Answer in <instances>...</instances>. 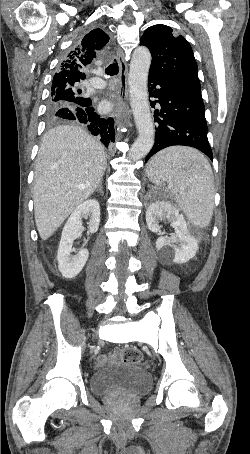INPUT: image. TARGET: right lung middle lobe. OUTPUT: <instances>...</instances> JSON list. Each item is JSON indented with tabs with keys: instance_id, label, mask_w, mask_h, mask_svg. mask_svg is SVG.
<instances>
[{
	"instance_id": "obj_1",
	"label": "right lung middle lobe",
	"mask_w": 250,
	"mask_h": 454,
	"mask_svg": "<svg viewBox=\"0 0 250 454\" xmlns=\"http://www.w3.org/2000/svg\"><path fill=\"white\" fill-rule=\"evenodd\" d=\"M80 94L81 90L77 89V84L52 85L47 109L48 121L59 122L63 120L56 113L58 109L65 106L72 108L89 100V98L83 97Z\"/></svg>"
}]
</instances>
